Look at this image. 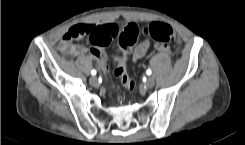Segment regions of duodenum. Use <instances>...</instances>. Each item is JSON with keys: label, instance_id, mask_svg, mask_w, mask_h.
Wrapping results in <instances>:
<instances>
[{"label": "duodenum", "instance_id": "1", "mask_svg": "<svg viewBox=\"0 0 245 145\" xmlns=\"http://www.w3.org/2000/svg\"><path fill=\"white\" fill-rule=\"evenodd\" d=\"M84 53H79V55H83Z\"/></svg>", "mask_w": 245, "mask_h": 145}]
</instances>
